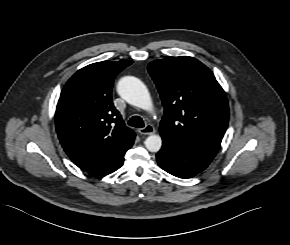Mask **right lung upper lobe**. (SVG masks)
<instances>
[{"instance_id": "cb5924a9", "label": "right lung upper lobe", "mask_w": 290, "mask_h": 245, "mask_svg": "<svg viewBox=\"0 0 290 245\" xmlns=\"http://www.w3.org/2000/svg\"><path fill=\"white\" fill-rule=\"evenodd\" d=\"M130 60L102 61L77 71L64 86L55 113L56 130L70 159L82 170L104 176L120 168L135 133L112 102L116 75Z\"/></svg>"}]
</instances>
